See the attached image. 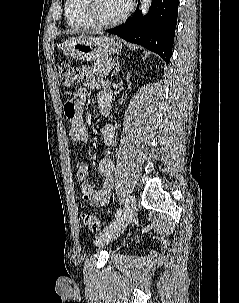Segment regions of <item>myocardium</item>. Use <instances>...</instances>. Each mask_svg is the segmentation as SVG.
<instances>
[{
    "instance_id": "1",
    "label": "myocardium",
    "mask_w": 239,
    "mask_h": 303,
    "mask_svg": "<svg viewBox=\"0 0 239 303\" xmlns=\"http://www.w3.org/2000/svg\"><path fill=\"white\" fill-rule=\"evenodd\" d=\"M96 2L97 0H83L81 8L85 19L93 27H97V28H107V27H113L119 25L120 23L126 20V18L129 16L132 10V4L129 3L126 10L120 16H118L113 20L103 21L98 19L95 15Z\"/></svg>"
}]
</instances>
